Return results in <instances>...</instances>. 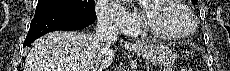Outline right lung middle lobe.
I'll return each instance as SVG.
<instances>
[{
	"label": "right lung middle lobe",
	"instance_id": "obj_1",
	"mask_svg": "<svg viewBox=\"0 0 230 71\" xmlns=\"http://www.w3.org/2000/svg\"><path fill=\"white\" fill-rule=\"evenodd\" d=\"M45 9H73L96 15L94 0H38L36 12Z\"/></svg>",
	"mask_w": 230,
	"mask_h": 71
}]
</instances>
